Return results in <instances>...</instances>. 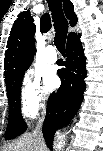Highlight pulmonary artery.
I'll use <instances>...</instances> for the list:
<instances>
[{
	"mask_svg": "<svg viewBox=\"0 0 103 151\" xmlns=\"http://www.w3.org/2000/svg\"><path fill=\"white\" fill-rule=\"evenodd\" d=\"M45 59L48 63H55L58 59L57 52L53 45H49L45 49Z\"/></svg>",
	"mask_w": 103,
	"mask_h": 151,
	"instance_id": "1",
	"label": "pulmonary artery"
}]
</instances>
